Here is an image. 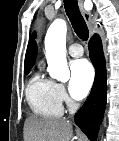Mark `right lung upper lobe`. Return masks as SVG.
Here are the masks:
<instances>
[{
    "label": "right lung upper lobe",
    "instance_id": "right-lung-upper-lobe-1",
    "mask_svg": "<svg viewBox=\"0 0 119 141\" xmlns=\"http://www.w3.org/2000/svg\"><path fill=\"white\" fill-rule=\"evenodd\" d=\"M35 37V35H32L30 38V42L28 44V48H27V52H26V56H25V65H24V71H30L36 55H37V48H36V44L33 41V38Z\"/></svg>",
    "mask_w": 119,
    "mask_h": 141
}]
</instances>
